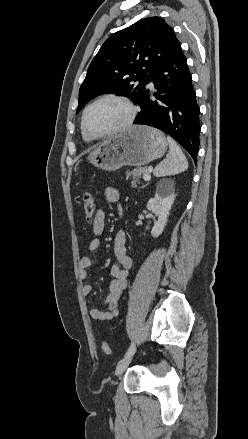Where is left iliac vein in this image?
<instances>
[{"mask_svg":"<svg viewBox=\"0 0 248 439\" xmlns=\"http://www.w3.org/2000/svg\"><path fill=\"white\" fill-rule=\"evenodd\" d=\"M133 358V355H129L127 357H124L123 359H121L117 366H116V370H115V375L116 376H120L129 366L131 360Z\"/></svg>","mask_w":248,"mask_h":439,"instance_id":"1","label":"left iliac vein"}]
</instances>
